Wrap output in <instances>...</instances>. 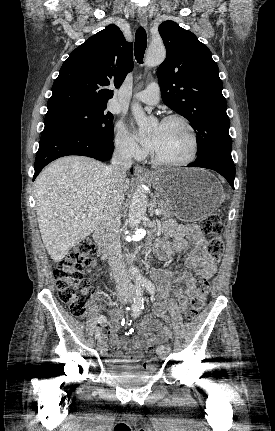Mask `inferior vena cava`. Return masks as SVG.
Returning a JSON list of instances; mask_svg holds the SVG:
<instances>
[{"label": "inferior vena cava", "instance_id": "obj_1", "mask_svg": "<svg viewBox=\"0 0 275 431\" xmlns=\"http://www.w3.org/2000/svg\"><path fill=\"white\" fill-rule=\"evenodd\" d=\"M131 165V150L127 146H121L115 149L111 166L105 169L108 176V189L103 213V225L108 239L109 264L119 291L132 289V284L122 260L119 234V211L124 200L123 182L126 178V171Z\"/></svg>", "mask_w": 275, "mask_h": 431}]
</instances>
